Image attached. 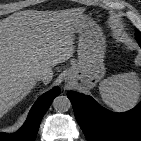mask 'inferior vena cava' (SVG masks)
<instances>
[{"label":"inferior vena cava","instance_id":"obj_1","mask_svg":"<svg viewBox=\"0 0 141 141\" xmlns=\"http://www.w3.org/2000/svg\"><path fill=\"white\" fill-rule=\"evenodd\" d=\"M35 80H42L43 82L51 81V76L44 71H38L34 73Z\"/></svg>","mask_w":141,"mask_h":141}]
</instances>
